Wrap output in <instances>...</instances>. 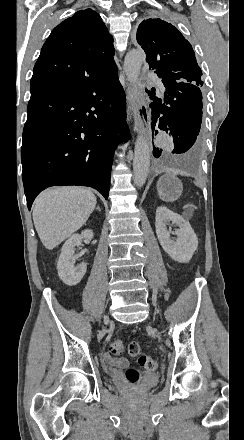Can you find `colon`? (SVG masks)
I'll return each mask as SVG.
<instances>
[{
	"mask_svg": "<svg viewBox=\"0 0 244 440\" xmlns=\"http://www.w3.org/2000/svg\"><path fill=\"white\" fill-rule=\"evenodd\" d=\"M127 349V353L131 357H138V363L140 366L145 367L148 371H154L157 368L156 359L151 355H141V345L139 343H129L126 347L125 343L121 339H117L111 342L109 351L114 356H120ZM129 375L127 379L131 382L137 379V375L134 373V367H129Z\"/></svg>",
	"mask_w": 244,
	"mask_h": 440,
	"instance_id": "colon-1",
	"label": "colon"
}]
</instances>
